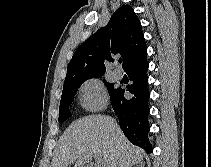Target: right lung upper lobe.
<instances>
[{"label":"right lung upper lobe","mask_w":211,"mask_h":167,"mask_svg":"<svg viewBox=\"0 0 211 167\" xmlns=\"http://www.w3.org/2000/svg\"><path fill=\"white\" fill-rule=\"evenodd\" d=\"M118 53L125 70L147 55L140 21L129 5L118 8L106 27L77 48L67 67L64 84L102 76L106 71L105 62L114 61L111 56Z\"/></svg>","instance_id":"1"}]
</instances>
